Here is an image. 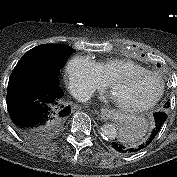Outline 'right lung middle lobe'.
I'll return each instance as SVG.
<instances>
[{
	"mask_svg": "<svg viewBox=\"0 0 177 177\" xmlns=\"http://www.w3.org/2000/svg\"><path fill=\"white\" fill-rule=\"evenodd\" d=\"M74 52V49L65 45H39L26 52L13 71H18L30 64L37 68L49 71L52 75L58 78L60 68L64 65L67 58Z\"/></svg>",
	"mask_w": 177,
	"mask_h": 177,
	"instance_id": "1",
	"label": "right lung middle lobe"
}]
</instances>
